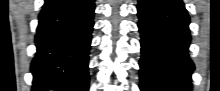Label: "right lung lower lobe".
<instances>
[{
	"label": "right lung lower lobe",
	"mask_w": 220,
	"mask_h": 91,
	"mask_svg": "<svg viewBox=\"0 0 220 91\" xmlns=\"http://www.w3.org/2000/svg\"><path fill=\"white\" fill-rule=\"evenodd\" d=\"M94 9V0H45L30 68L33 91H88Z\"/></svg>",
	"instance_id": "98d812e1"
}]
</instances>
